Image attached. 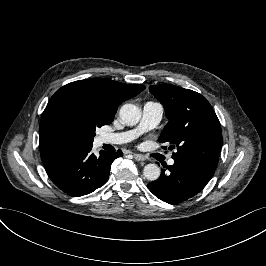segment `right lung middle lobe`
Here are the masks:
<instances>
[{
	"label": "right lung middle lobe",
	"mask_w": 266,
	"mask_h": 266,
	"mask_svg": "<svg viewBox=\"0 0 266 266\" xmlns=\"http://www.w3.org/2000/svg\"><path fill=\"white\" fill-rule=\"evenodd\" d=\"M60 112L76 145H92L96 127L113 121L99 108L94 97L83 93L69 97L62 104Z\"/></svg>",
	"instance_id": "obj_1"
}]
</instances>
